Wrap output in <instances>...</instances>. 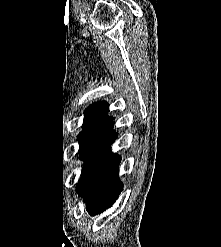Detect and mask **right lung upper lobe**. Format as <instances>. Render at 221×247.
<instances>
[{"label":"right lung upper lobe","instance_id":"right-lung-upper-lobe-1","mask_svg":"<svg viewBox=\"0 0 221 247\" xmlns=\"http://www.w3.org/2000/svg\"><path fill=\"white\" fill-rule=\"evenodd\" d=\"M107 112L108 104L105 101L96 102L90 105L85 111L86 116L82 126V131L111 122L113 117L107 116Z\"/></svg>","mask_w":221,"mask_h":247}]
</instances>
